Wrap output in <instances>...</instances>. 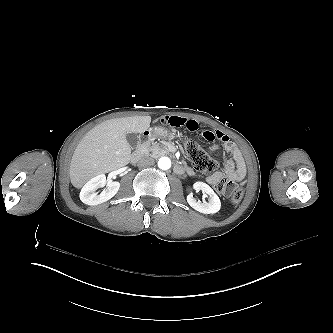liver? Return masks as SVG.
Masks as SVG:
<instances>
[{"instance_id":"obj_1","label":"liver","mask_w":333,"mask_h":333,"mask_svg":"<svg viewBox=\"0 0 333 333\" xmlns=\"http://www.w3.org/2000/svg\"><path fill=\"white\" fill-rule=\"evenodd\" d=\"M163 117L131 116L106 120L93 127L76 146L69 167L72 185L81 189L90 179L129 164L128 134H142Z\"/></svg>"}]
</instances>
